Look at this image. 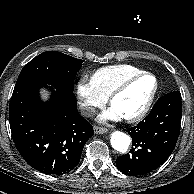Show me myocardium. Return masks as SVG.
<instances>
[{
  "label": "myocardium",
  "instance_id": "obj_1",
  "mask_svg": "<svg viewBox=\"0 0 194 194\" xmlns=\"http://www.w3.org/2000/svg\"><path fill=\"white\" fill-rule=\"evenodd\" d=\"M145 76H150L154 79L155 81V86L154 89L149 97V99L147 100V102L145 103V105L143 106V108L135 115L130 116V117H125L123 118L126 122L128 123H135L138 122L140 120H142L149 112V110L151 109L153 102L158 94L159 91V80L156 77V75H154L151 72L148 71H141L137 74H134L132 76H129L128 78L124 79L112 92L111 94L108 96V103L109 105L112 106L113 101L119 96L121 95L133 82H135L136 80L145 77Z\"/></svg>",
  "mask_w": 194,
  "mask_h": 194
}]
</instances>
